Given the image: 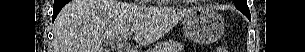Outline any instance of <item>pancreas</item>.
I'll list each match as a JSON object with an SVG mask.
<instances>
[{
	"label": "pancreas",
	"mask_w": 305,
	"mask_h": 52,
	"mask_svg": "<svg viewBox=\"0 0 305 52\" xmlns=\"http://www.w3.org/2000/svg\"><path fill=\"white\" fill-rule=\"evenodd\" d=\"M184 46L178 41L165 42L153 50L154 52H181Z\"/></svg>",
	"instance_id": "cf45deb5"
}]
</instances>
